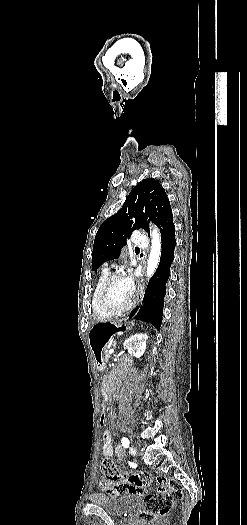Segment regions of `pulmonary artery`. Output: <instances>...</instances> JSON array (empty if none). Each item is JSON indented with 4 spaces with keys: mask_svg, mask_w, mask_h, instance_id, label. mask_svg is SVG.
I'll return each instance as SVG.
<instances>
[{
    "mask_svg": "<svg viewBox=\"0 0 247 525\" xmlns=\"http://www.w3.org/2000/svg\"><path fill=\"white\" fill-rule=\"evenodd\" d=\"M130 244L132 246H143L144 247L147 245V237L146 236H131Z\"/></svg>",
    "mask_w": 247,
    "mask_h": 525,
    "instance_id": "obj_1",
    "label": "pulmonary artery"
}]
</instances>
